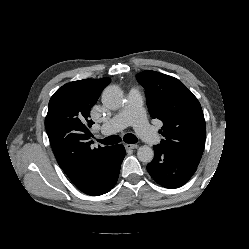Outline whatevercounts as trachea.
I'll list each match as a JSON object with an SVG mask.
<instances>
[{
  "instance_id": "3493384b",
  "label": "trachea",
  "mask_w": 249,
  "mask_h": 249,
  "mask_svg": "<svg viewBox=\"0 0 249 249\" xmlns=\"http://www.w3.org/2000/svg\"><path fill=\"white\" fill-rule=\"evenodd\" d=\"M123 139L126 143H129V144H134V143H137L138 141L137 137L132 133L126 134ZM120 141H121V138L118 135H112L104 139L98 140V142H100L101 144H105V145H113V144L119 143Z\"/></svg>"
}]
</instances>
